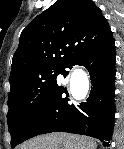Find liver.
<instances>
[{"label":"liver","instance_id":"obj_1","mask_svg":"<svg viewBox=\"0 0 124 149\" xmlns=\"http://www.w3.org/2000/svg\"><path fill=\"white\" fill-rule=\"evenodd\" d=\"M96 147V143L87 137L54 133L35 137L21 149H96Z\"/></svg>","mask_w":124,"mask_h":149}]
</instances>
